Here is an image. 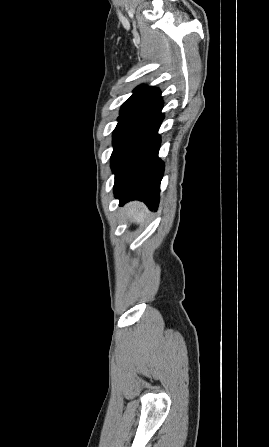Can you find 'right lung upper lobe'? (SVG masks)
Instances as JSON below:
<instances>
[{
    "label": "right lung upper lobe",
    "instance_id": "obj_1",
    "mask_svg": "<svg viewBox=\"0 0 269 447\" xmlns=\"http://www.w3.org/2000/svg\"><path fill=\"white\" fill-rule=\"evenodd\" d=\"M160 95L161 92L158 88L140 85L134 90L133 95L122 105L120 114L130 115L137 112L156 101Z\"/></svg>",
    "mask_w": 269,
    "mask_h": 447
}]
</instances>
